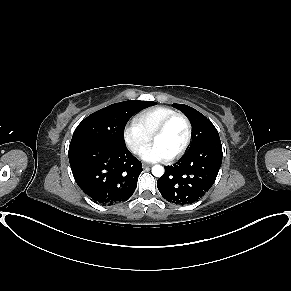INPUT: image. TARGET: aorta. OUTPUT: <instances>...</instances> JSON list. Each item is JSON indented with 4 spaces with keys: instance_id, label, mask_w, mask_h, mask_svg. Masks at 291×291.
I'll return each instance as SVG.
<instances>
[{
    "instance_id": "aorta-1",
    "label": "aorta",
    "mask_w": 291,
    "mask_h": 291,
    "mask_svg": "<svg viewBox=\"0 0 291 291\" xmlns=\"http://www.w3.org/2000/svg\"><path fill=\"white\" fill-rule=\"evenodd\" d=\"M152 174L155 177H161L164 174V168L161 165H154L152 167Z\"/></svg>"
}]
</instances>
